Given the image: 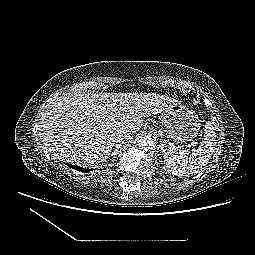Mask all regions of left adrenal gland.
<instances>
[{
	"mask_svg": "<svg viewBox=\"0 0 255 255\" xmlns=\"http://www.w3.org/2000/svg\"><path fill=\"white\" fill-rule=\"evenodd\" d=\"M164 147H165V144H164V142H163V140H160V145H159V149H164ZM159 149H158V151L157 152H159ZM158 156H160V153H158Z\"/></svg>",
	"mask_w": 255,
	"mask_h": 255,
	"instance_id": "left-adrenal-gland-1",
	"label": "left adrenal gland"
}]
</instances>
